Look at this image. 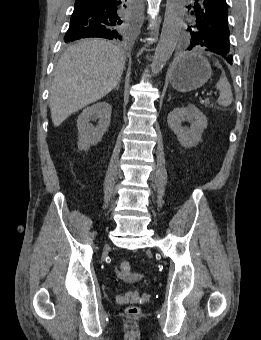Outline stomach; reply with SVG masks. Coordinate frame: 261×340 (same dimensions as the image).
<instances>
[{
    "label": "stomach",
    "mask_w": 261,
    "mask_h": 340,
    "mask_svg": "<svg viewBox=\"0 0 261 340\" xmlns=\"http://www.w3.org/2000/svg\"><path fill=\"white\" fill-rule=\"evenodd\" d=\"M212 75L207 59L196 53H185L172 63L169 70L171 86L189 92L202 87Z\"/></svg>",
    "instance_id": "1"
}]
</instances>
